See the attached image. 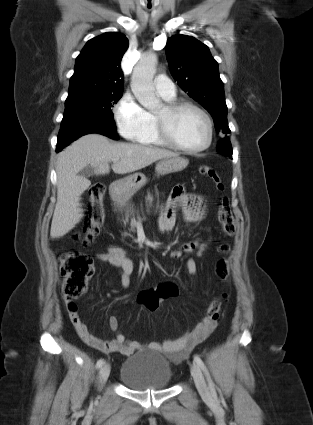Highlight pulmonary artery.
Wrapping results in <instances>:
<instances>
[{"mask_svg": "<svg viewBox=\"0 0 313 425\" xmlns=\"http://www.w3.org/2000/svg\"><path fill=\"white\" fill-rule=\"evenodd\" d=\"M154 85L157 93L166 99H173L176 96L174 83L167 76L159 75L154 80Z\"/></svg>", "mask_w": 313, "mask_h": 425, "instance_id": "obj_1", "label": "pulmonary artery"}]
</instances>
